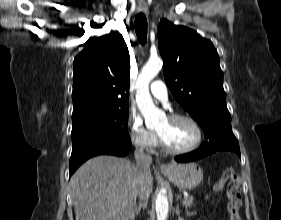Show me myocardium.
Masks as SVG:
<instances>
[{"label":"myocardium","instance_id":"myocardium-1","mask_svg":"<svg viewBox=\"0 0 281 220\" xmlns=\"http://www.w3.org/2000/svg\"><path fill=\"white\" fill-rule=\"evenodd\" d=\"M170 121H177V120H186L189 123L192 124V126L194 127L195 131H196V141L194 142V144L188 148H184V149H174L171 148L170 146L167 145V143L164 141V139L161 137V135H158V141L159 144L162 148V150L168 154H172V155H182V154H188L191 153L195 150H197L199 148V146L202 143V139H203V133H202V129L200 124L197 122L196 119H194L192 116L187 115V114H181V113H176V114H171L168 116L167 118Z\"/></svg>","mask_w":281,"mask_h":220}]
</instances>
